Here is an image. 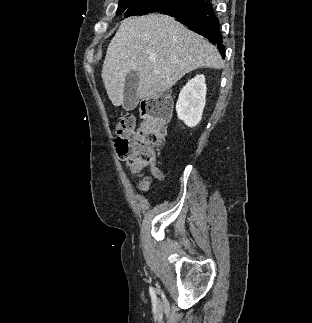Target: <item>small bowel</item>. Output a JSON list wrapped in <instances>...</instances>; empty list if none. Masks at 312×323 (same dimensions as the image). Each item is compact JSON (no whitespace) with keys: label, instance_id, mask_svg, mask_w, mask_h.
<instances>
[{"label":"small bowel","instance_id":"1","mask_svg":"<svg viewBox=\"0 0 312 323\" xmlns=\"http://www.w3.org/2000/svg\"><path fill=\"white\" fill-rule=\"evenodd\" d=\"M150 169H151V176L144 178L138 184V191L141 194H147L150 192L154 179L163 178V174L161 170L157 167L155 162L151 164Z\"/></svg>","mask_w":312,"mask_h":323}]
</instances>
